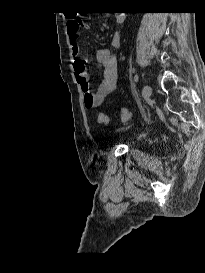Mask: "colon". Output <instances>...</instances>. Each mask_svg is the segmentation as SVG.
Segmentation results:
<instances>
[{
	"label": "colon",
	"instance_id": "colon-1",
	"mask_svg": "<svg viewBox=\"0 0 205 273\" xmlns=\"http://www.w3.org/2000/svg\"><path fill=\"white\" fill-rule=\"evenodd\" d=\"M82 24H83V22L80 20V22H78L76 27L82 28ZM119 116H120V119L125 122V121H129L131 119L132 113L129 109L122 108V109H120ZM97 120L100 124L105 125V124L109 123V117L105 114H102V113L98 114Z\"/></svg>",
	"mask_w": 205,
	"mask_h": 273
}]
</instances>
